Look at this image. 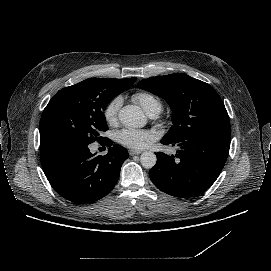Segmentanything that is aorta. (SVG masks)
<instances>
[{
    "instance_id": "762f6f07",
    "label": "aorta",
    "mask_w": 271,
    "mask_h": 271,
    "mask_svg": "<svg viewBox=\"0 0 271 271\" xmlns=\"http://www.w3.org/2000/svg\"><path fill=\"white\" fill-rule=\"evenodd\" d=\"M121 123L131 129V128H141L147 123V118L143 114L139 106L136 105H126L124 106L118 114ZM157 161L156 155L151 151L143 152L140 156L141 165L150 169L155 166Z\"/></svg>"
}]
</instances>
